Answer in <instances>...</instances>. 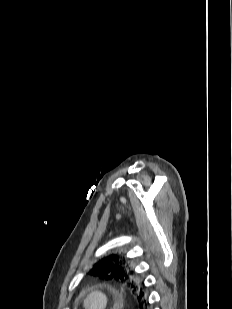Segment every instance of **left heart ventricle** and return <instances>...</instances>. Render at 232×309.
<instances>
[{
    "label": "left heart ventricle",
    "mask_w": 232,
    "mask_h": 309,
    "mask_svg": "<svg viewBox=\"0 0 232 309\" xmlns=\"http://www.w3.org/2000/svg\"><path fill=\"white\" fill-rule=\"evenodd\" d=\"M100 300L97 297H93L89 300V309H99L100 306Z\"/></svg>",
    "instance_id": "b2bd125f"
}]
</instances>
